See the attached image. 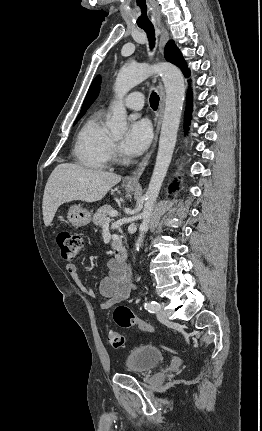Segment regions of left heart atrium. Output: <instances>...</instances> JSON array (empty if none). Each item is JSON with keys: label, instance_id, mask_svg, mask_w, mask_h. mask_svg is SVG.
<instances>
[{"label": "left heart atrium", "instance_id": "39dd6f15", "mask_svg": "<svg viewBox=\"0 0 262 431\" xmlns=\"http://www.w3.org/2000/svg\"><path fill=\"white\" fill-rule=\"evenodd\" d=\"M151 141V127L146 120L133 119L127 134L121 142V149L125 155L137 156L141 154Z\"/></svg>", "mask_w": 262, "mask_h": 431}]
</instances>
